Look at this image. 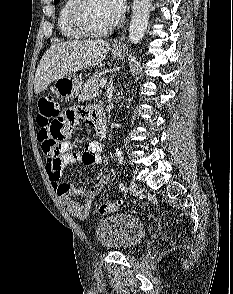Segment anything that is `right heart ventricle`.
<instances>
[{"mask_svg":"<svg viewBox=\"0 0 233 294\" xmlns=\"http://www.w3.org/2000/svg\"><path fill=\"white\" fill-rule=\"evenodd\" d=\"M75 0H64L60 6L57 24L61 35L69 40H78L84 36L71 23L70 13Z\"/></svg>","mask_w":233,"mask_h":294,"instance_id":"e07e8e85","label":"right heart ventricle"}]
</instances>
